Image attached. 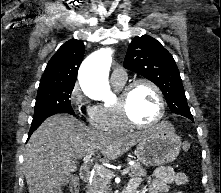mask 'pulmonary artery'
I'll use <instances>...</instances> for the list:
<instances>
[{
    "label": "pulmonary artery",
    "mask_w": 221,
    "mask_h": 193,
    "mask_svg": "<svg viewBox=\"0 0 221 193\" xmlns=\"http://www.w3.org/2000/svg\"><path fill=\"white\" fill-rule=\"evenodd\" d=\"M126 79H127V73L123 68L118 67L112 71L111 82L124 83Z\"/></svg>",
    "instance_id": "e3ab8cb5"
}]
</instances>
